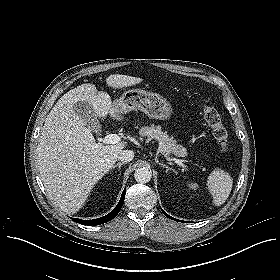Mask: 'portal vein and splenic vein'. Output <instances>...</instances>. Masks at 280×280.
I'll list each match as a JSON object with an SVG mask.
<instances>
[{"mask_svg":"<svg viewBox=\"0 0 280 280\" xmlns=\"http://www.w3.org/2000/svg\"><path fill=\"white\" fill-rule=\"evenodd\" d=\"M120 140V136H118L117 134H108L102 139V142L104 144H117L120 142ZM173 161L181 165L183 168H188V166L185 165L182 160L174 158Z\"/></svg>","mask_w":280,"mask_h":280,"instance_id":"18ae733b","label":"portal vein and splenic vein"}]
</instances>
